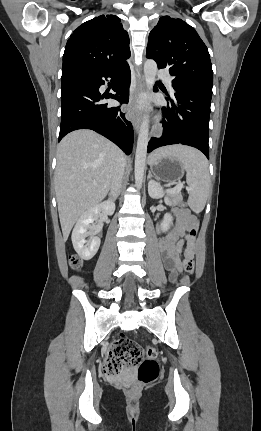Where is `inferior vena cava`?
<instances>
[{"label": "inferior vena cava", "instance_id": "602c4592", "mask_svg": "<svg viewBox=\"0 0 261 431\" xmlns=\"http://www.w3.org/2000/svg\"><path fill=\"white\" fill-rule=\"evenodd\" d=\"M124 167H125V161L124 159H120L117 163L115 173L112 178L111 186H110V197L112 200H115L120 194V189L122 186L123 175H124Z\"/></svg>", "mask_w": 261, "mask_h": 431}]
</instances>
